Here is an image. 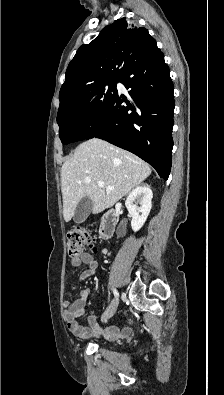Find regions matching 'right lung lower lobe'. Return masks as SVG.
Instances as JSON below:
<instances>
[{"mask_svg":"<svg viewBox=\"0 0 224 395\" xmlns=\"http://www.w3.org/2000/svg\"><path fill=\"white\" fill-rule=\"evenodd\" d=\"M120 82L130 89V99L117 93L84 139L100 138L126 149L167 180L172 164L174 86L157 45L137 59Z\"/></svg>","mask_w":224,"mask_h":395,"instance_id":"right-lung-lower-lobe-1","label":"right lung lower lobe"}]
</instances>
